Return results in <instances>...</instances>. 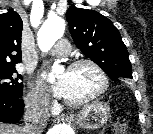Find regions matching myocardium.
<instances>
[{
    "instance_id": "f54148a6",
    "label": "myocardium",
    "mask_w": 153,
    "mask_h": 134,
    "mask_svg": "<svg viewBox=\"0 0 153 134\" xmlns=\"http://www.w3.org/2000/svg\"><path fill=\"white\" fill-rule=\"evenodd\" d=\"M83 65L90 66L96 71V73L98 74V76L100 78V86L94 93H92L91 95H89L81 100L73 101V100H68V99L64 98L65 104L68 106H71V107H80V106H83V105L95 100L96 98L101 96L107 90L108 85H109V78H108L107 73L102 68V66L93 59H90V58L77 59L69 64V66L67 67V70H73V69H75L79 66H83Z\"/></svg>"
}]
</instances>
